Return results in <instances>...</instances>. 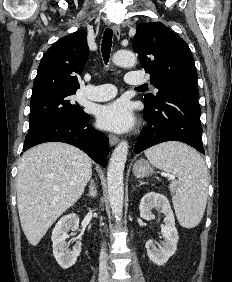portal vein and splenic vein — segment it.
Here are the masks:
<instances>
[{"instance_id": "obj_1", "label": "portal vein and splenic vein", "mask_w": 232, "mask_h": 282, "mask_svg": "<svg viewBox=\"0 0 232 282\" xmlns=\"http://www.w3.org/2000/svg\"><path fill=\"white\" fill-rule=\"evenodd\" d=\"M169 178H170V179H174V176H173V175H169Z\"/></svg>"}]
</instances>
